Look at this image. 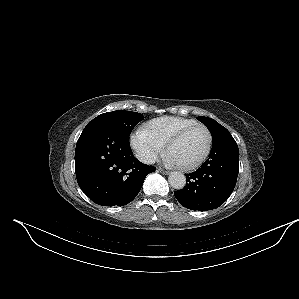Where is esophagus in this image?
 <instances>
[{
	"label": "esophagus",
	"instance_id": "esophagus-1",
	"mask_svg": "<svg viewBox=\"0 0 299 299\" xmlns=\"http://www.w3.org/2000/svg\"><path fill=\"white\" fill-rule=\"evenodd\" d=\"M158 171H160L161 173H163V174H165V175L169 174V171H168V170H164V169H162V168H158Z\"/></svg>",
	"mask_w": 299,
	"mask_h": 299
}]
</instances>
